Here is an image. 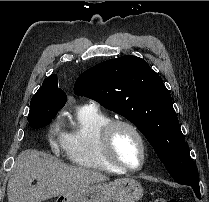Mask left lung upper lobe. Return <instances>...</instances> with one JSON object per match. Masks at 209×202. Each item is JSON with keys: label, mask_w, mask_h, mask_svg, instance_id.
Segmentation results:
<instances>
[{"label": "left lung upper lobe", "mask_w": 209, "mask_h": 202, "mask_svg": "<svg viewBox=\"0 0 209 202\" xmlns=\"http://www.w3.org/2000/svg\"><path fill=\"white\" fill-rule=\"evenodd\" d=\"M74 92L135 124L177 183L199 186L171 95L146 61L126 55L99 63L78 77Z\"/></svg>", "instance_id": "left-lung-upper-lobe-1"}]
</instances>
